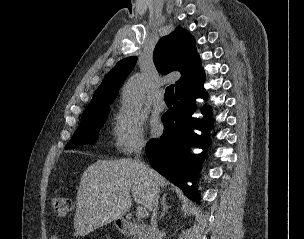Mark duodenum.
I'll return each instance as SVG.
<instances>
[{
  "label": "duodenum",
  "mask_w": 304,
  "mask_h": 239,
  "mask_svg": "<svg viewBox=\"0 0 304 239\" xmlns=\"http://www.w3.org/2000/svg\"><path fill=\"white\" fill-rule=\"evenodd\" d=\"M118 227L126 236H134L137 239H152L151 228L148 224L134 223L123 219L118 222Z\"/></svg>",
  "instance_id": "1"
}]
</instances>
